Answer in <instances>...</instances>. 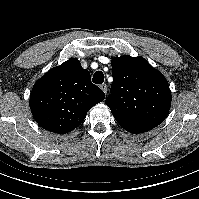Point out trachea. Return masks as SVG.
<instances>
[{
  "label": "trachea",
  "instance_id": "obj_1",
  "mask_svg": "<svg viewBox=\"0 0 199 199\" xmlns=\"http://www.w3.org/2000/svg\"><path fill=\"white\" fill-rule=\"evenodd\" d=\"M104 82V74L101 71L95 72L93 75V83L102 84Z\"/></svg>",
  "mask_w": 199,
  "mask_h": 199
}]
</instances>
